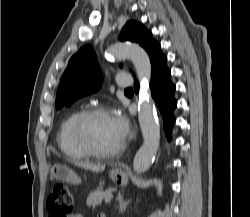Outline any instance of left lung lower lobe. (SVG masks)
<instances>
[{
	"instance_id": "obj_1",
	"label": "left lung lower lobe",
	"mask_w": 250,
	"mask_h": 217,
	"mask_svg": "<svg viewBox=\"0 0 250 217\" xmlns=\"http://www.w3.org/2000/svg\"><path fill=\"white\" fill-rule=\"evenodd\" d=\"M150 62L152 67L151 95L162 114L164 130L170 139L171 129L175 122L173 112L177 101L174 98L175 85L170 81L171 72L166 65V56L161 52L159 43L150 56ZM134 89L136 93L139 91L137 80H135Z\"/></svg>"
}]
</instances>
